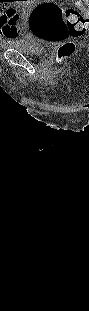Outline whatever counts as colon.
Masks as SVG:
<instances>
[{"label":"colon","mask_w":89,"mask_h":311,"mask_svg":"<svg viewBox=\"0 0 89 311\" xmlns=\"http://www.w3.org/2000/svg\"><path fill=\"white\" fill-rule=\"evenodd\" d=\"M16 11L7 9L1 16L6 27L17 28L14 17ZM89 18L80 5L77 8H67L52 0L37 5L29 19V28L33 34L50 42H60L59 57H67L75 51V43L70 37L82 36L88 28ZM11 33V31H9Z\"/></svg>","instance_id":"5ec220e1"}]
</instances>
